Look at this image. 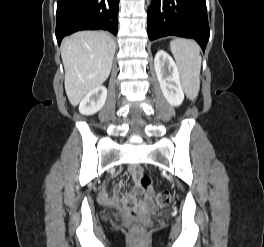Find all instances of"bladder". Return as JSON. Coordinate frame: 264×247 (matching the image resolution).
<instances>
[{
	"label": "bladder",
	"instance_id": "1",
	"mask_svg": "<svg viewBox=\"0 0 264 247\" xmlns=\"http://www.w3.org/2000/svg\"><path fill=\"white\" fill-rule=\"evenodd\" d=\"M114 216V212H105L102 214V217L106 220L111 219Z\"/></svg>",
	"mask_w": 264,
	"mask_h": 247
}]
</instances>
